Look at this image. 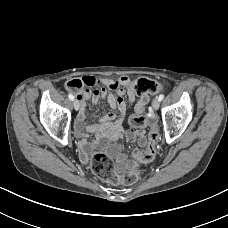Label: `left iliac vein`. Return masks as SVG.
<instances>
[{
  "label": "left iliac vein",
  "mask_w": 228,
  "mask_h": 228,
  "mask_svg": "<svg viewBox=\"0 0 228 228\" xmlns=\"http://www.w3.org/2000/svg\"><path fill=\"white\" fill-rule=\"evenodd\" d=\"M159 106H160V101L158 98H155L152 102V107L154 110H158Z\"/></svg>",
  "instance_id": "obj_1"
}]
</instances>
